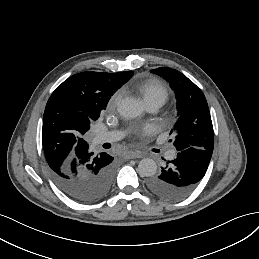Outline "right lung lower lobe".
I'll return each mask as SVG.
<instances>
[{
	"instance_id": "98d812e1",
	"label": "right lung lower lobe",
	"mask_w": 259,
	"mask_h": 259,
	"mask_svg": "<svg viewBox=\"0 0 259 259\" xmlns=\"http://www.w3.org/2000/svg\"><path fill=\"white\" fill-rule=\"evenodd\" d=\"M113 157L105 152L95 154L89 148L74 156L64 168L50 171L57 186L71 199L92 203L110 190L115 166Z\"/></svg>"
}]
</instances>
